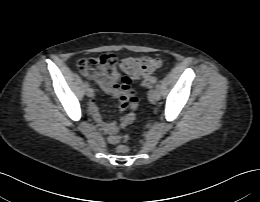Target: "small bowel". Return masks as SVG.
<instances>
[{"instance_id": "c3829d8e", "label": "small bowel", "mask_w": 260, "mask_h": 202, "mask_svg": "<svg viewBox=\"0 0 260 202\" xmlns=\"http://www.w3.org/2000/svg\"><path fill=\"white\" fill-rule=\"evenodd\" d=\"M99 84L106 93L118 99L119 109L121 111H125L127 109L130 110L119 120V122L113 121L110 123H105L98 111L95 101H91L89 104L88 109L94 121L98 123L101 130L108 135L109 143L116 144L119 141L117 135L119 130L127 127L134 121V110L137 108L138 100L131 90L130 82H119L118 76L109 82H102Z\"/></svg>"}]
</instances>
